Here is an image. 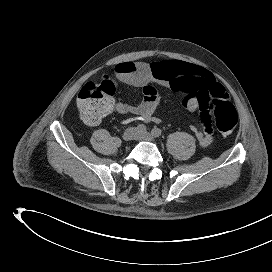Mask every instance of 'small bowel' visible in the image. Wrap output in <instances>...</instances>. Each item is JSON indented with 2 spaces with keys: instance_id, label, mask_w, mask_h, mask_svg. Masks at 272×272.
<instances>
[{
  "instance_id": "c3829d8e",
  "label": "small bowel",
  "mask_w": 272,
  "mask_h": 272,
  "mask_svg": "<svg viewBox=\"0 0 272 272\" xmlns=\"http://www.w3.org/2000/svg\"><path fill=\"white\" fill-rule=\"evenodd\" d=\"M117 79L125 84L139 87L143 91V99L138 104L113 102L109 112L132 114L145 122L158 123L154 115L160 97L154 83L183 93V106L190 112L200 111L203 130L191 127L198 143L209 146L213 141L214 110L213 98L225 94L223 85L218 82L209 70L180 60H164L156 63L125 61L115 65Z\"/></svg>"
}]
</instances>
